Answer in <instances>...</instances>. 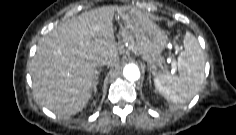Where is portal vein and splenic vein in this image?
Wrapping results in <instances>:
<instances>
[{
	"label": "portal vein and splenic vein",
	"instance_id": "1",
	"mask_svg": "<svg viewBox=\"0 0 236 135\" xmlns=\"http://www.w3.org/2000/svg\"><path fill=\"white\" fill-rule=\"evenodd\" d=\"M176 49L178 50V47H176ZM171 66H172V72L174 73L176 71V68H177L176 62L172 61Z\"/></svg>",
	"mask_w": 236,
	"mask_h": 135
}]
</instances>
